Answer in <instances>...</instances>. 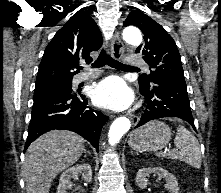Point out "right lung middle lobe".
Returning a JSON list of instances; mask_svg holds the SVG:
<instances>
[{
  "label": "right lung middle lobe",
  "instance_id": "1",
  "mask_svg": "<svg viewBox=\"0 0 221 193\" xmlns=\"http://www.w3.org/2000/svg\"><path fill=\"white\" fill-rule=\"evenodd\" d=\"M71 87H72V82H61V83L36 86L33 98H38L49 94L71 95L72 94Z\"/></svg>",
  "mask_w": 221,
  "mask_h": 193
}]
</instances>
